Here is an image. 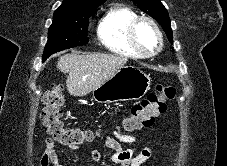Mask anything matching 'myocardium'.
I'll list each match as a JSON object with an SVG mask.
<instances>
[{"label":"myocardium","instance_id":"myocardium-1","mask_svg":"<svg viewBox=\"0 0 227 166\" xmlns=\"http://www.w3.org/2000/svg\"><path fill=\"white\" fill-rule=\"evenodd\" d=\"M142 22L148 23L153 28V30L155 31L157 38H158V45H157L156 49L153 51H150V52H146L141 48V46L138 43L137 37H136V29H137L138 25ZM127 36H128V40H129V43L132 46V48L140 56H143V57L154 56V55L158 54L163 47L162 32H161L158 24L151 17H148V16H137L136 18H134L128 26Z\"/></svg>","mask_w":227,"mask_h":166}]
</instances>
